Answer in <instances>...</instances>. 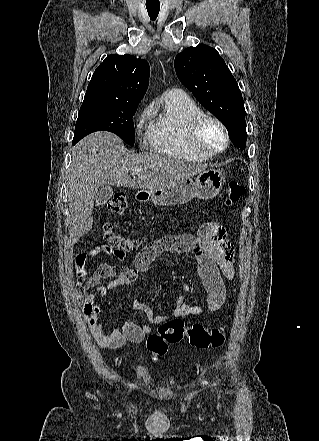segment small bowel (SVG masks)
<instances>
[{
    "label": "small bowel",
    "mask_w": 319,
    "mask_h": 441,
    "mask_svg": "<svg viewBox=\"0 0 319 441\" xmlns=\"http://www.w3.org/2000/svg\"><path fill=\"white\" fill-rule=\"evenodd\" d=\"M164 252L191 253L197 262V272L207 292L206 306L185 303L180 296L174 310L179 318L201 315L204 312L218 311L226 299V288L223 277L232 280L235 277L234 247L227 239L224 226L210 222L202 225L197 235L179 234L164 237L145 246L136 256L133 267L120 265H101L92 274H88L85 283H77V300L91 335L101 348H119L126 342L140 343L152 331L149 325L135 319H127L122 329L113 326L106 332L101 320L102 303L97 296L127 285H133L140 273L146 272L152 262ZM97 250L79 253L76 256L77 272L85 267L87 260ZM107 279L105 285L101 281ZM93 289V291H92ZM184 291H190L191 285L184 283ZM135 311H143L151 324L162 323L168 316L155 315L153 310L138 299L132 302Z\"/></svg>",
    "instance_id": "small-bowel-1"
}]
</instances>
